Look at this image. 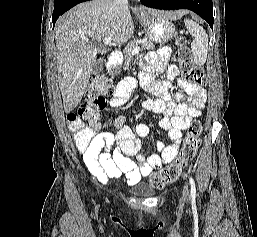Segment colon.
Wrapping results in <instances>:
<instances>
[{
  "label": "colon",
  "instance_id": "1",
  "mask_svg": "<svg viewBox=\"0 0 257 237\" xmlns=\"http://www.w3.org/2000/svg\"><path fill=\"white\" fill-rule=\"evenodd\" d=\"M175 45L177 48V60L186 81L199 87L204 86L206 84V76L201 68L194 66L191 58V51L186 45L184 37L177 35L175 38ZM112 92L113 87L105 75L96 77L89 87V105H96L106 101L105 97L112 94ZM66 121L69 130L73 133L77 142L81 146H87L91 142L92 136L87 132L80 114L69 113ZM201 132V123L194 121L190 124L181 152L170 165L150 175L149 182L151 186L157 189L163 188L164 186L175 182L182 175L197 154L200 146Z\"/></svg>",
  "mask_w": 257,
  "mask_h": 237
}]
</instances>
